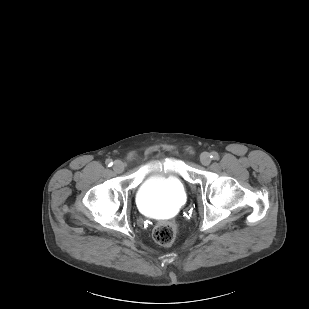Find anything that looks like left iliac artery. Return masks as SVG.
<instances>
[{"label":"left iliac artery","instance_id":"44dca946","mask_svg":"<svg viewBox=\"0 0 309 309\" xmlns=\"http://www.w3.org/2000/svg\"><path fill=\"white\" fill-rule=\"evenodd\" d=\"M213 160H217L219 158V155L217 152H212L210 156Z\"/></svg>","mask_w":309,"mask_h":309}]
</instances>
